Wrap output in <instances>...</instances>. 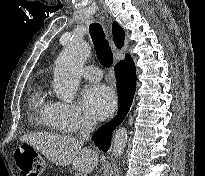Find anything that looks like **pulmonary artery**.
<instances>
[{"mask_svg": "<svg viewBox=\"0 0 205 176\" xmlns=\"http://www.w3.org/2000/svg\"><path fill=\"white\" fill-rule=\"evenodd\" d=\"M82 76L89 81H99L102 77L101 70L96 66H86L81 71Z\"/></svg>", "mask_w": 205, "mask_h": 176, "instance_id": "pulmonary-artery-1", "label": "pulmonary artery"}]
</instances>
